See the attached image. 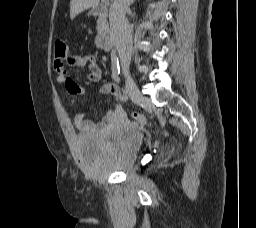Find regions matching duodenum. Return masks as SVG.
Wrapping results in <instances>:
<instances>
[{"instance_id":"410a0bca","label":"duodenum","mask_w":256,"mask_h":228,"mask_svg":"<svg viewBox=\"0 0 256 228\" xmlns=\"http://www.w3.org/2000/svg\"><path fill=\"white\" fill-rule=\"evenodd\" d=\"M106 12V4L96 3L91 7V13L93 16L102 17ZM97 45L104 49L110 50L113 46L112 34L107 28H102L97 37H96Z\"/></svg>"}]
</instances>
